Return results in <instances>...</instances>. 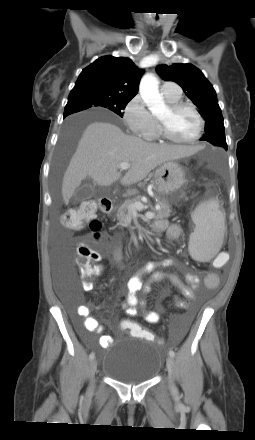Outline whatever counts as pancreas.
<instances>
[{"label": "pancreas", "mask_w": 255, "mask_h": 440, "mask_svg": "<svg viewBox=\"0 0 255 440\" xmlns=\"http://www.w3.org/2000/svg\"><path fill=\"white\" fill-rule=\"evenodd\" d=\"M141 197L137 196L132 199H127L117 211V219L121 224H128L132 219V213L129 211V206L136 202H140ZM171 210L169 204L161 200L159 202V209L155 210V219H164L170 216Z\"/></svg>", "instance_id": "1"}]
</instances>
